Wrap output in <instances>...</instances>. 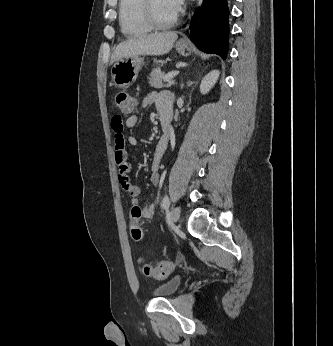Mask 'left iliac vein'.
Segmentation results:
<instances>
[{
	"label": "left iliac vein",
	"mask_w": 333,
	"mask_h": 346,
	"mask_svg": "<svg viewBox=\"0 0 333 346\" xmlns=\"http://www.w3.org/2000/svg\"><path fill=\"white\" fill-rule=\"evenodd\" d=\"M180 216V209L179 207H173L170 211V225L171 227H175L176 223Z\"/></svg>",
	"instance_id": "4c4485c4"
}]
</instances>
